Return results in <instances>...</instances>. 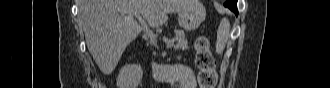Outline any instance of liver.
Listing matches in <instances>:
<instances>
[{"label": "liver", "mask_w": 330, "mask_h": 88, "mask_svg": "<svg viewBox=\"0 0 330 88\" xmlns=\"http://www.w3.org/2000/svg\"><path fill=\"white\" fill-rule=\"evenodd\" d=\"M191 0H80L79 19L86 44L99 69L113 72L126 47L141 33L137 11L151 27L162 26L167 14L186 9Z\"/></svg>", "instance_id": "obj_1"}]
</instances>
